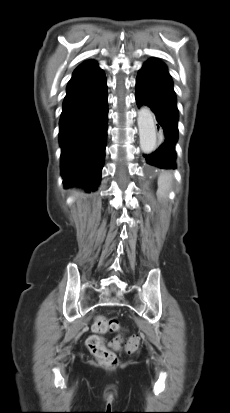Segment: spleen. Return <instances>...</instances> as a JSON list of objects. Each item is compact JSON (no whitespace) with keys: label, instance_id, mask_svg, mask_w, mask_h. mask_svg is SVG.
I'll list each match as a JSON object with an SVG mask.
<instances>
[{"label":"spleen","instance_id":"spleen-1","mask_svg":"<svg viewBox=\"0 0 230 413\" xmlns=\"http://www.w3.org/2000/svg\"><path fill=\"white\" fill-rule=\"evenodd\" d=\"M172 183V174L163 172L158 179V196L160 199L165 198L170 190Z\"/></svg>","mask_w":230,"mask_h":413}]
</instances>
